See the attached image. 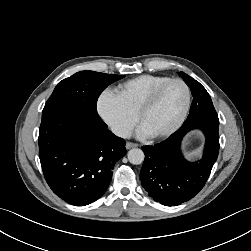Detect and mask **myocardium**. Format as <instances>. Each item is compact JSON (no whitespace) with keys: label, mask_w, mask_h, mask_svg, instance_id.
Wrapping results in <instances>:
<instances>
[{"label":"myocardium","mask_w":251,"mask_h":251,"mask_svg":"<svg viewBox=\"0 0 251 251\" xmlns=\"http://www.w3.org/2000/svg\"><path fill=\"white\" fill-rule=\"evenodd\" d=\"M172 83H180L184 87L185 92H186L185 105L183 107V110H182L179 118L170 128H168L167 130H165L161 133L149 136L150 138L155 139V140L164 139V138H167V137L173 135L182 126V124L186 120L187 115L190 110V106H191V89H190L189 85L183 79H180V78H171V79L165 81L164 83L159 85L157 88H155L150 93V95L140 105V107L137 111V114H136L137 120L141 124L142 118L145 115V113L147 111H149L155 105V103L157 102L158 98L160 97V95L164 91V89Z\"/></svg>","instance_id":"1"}]
</instances>
